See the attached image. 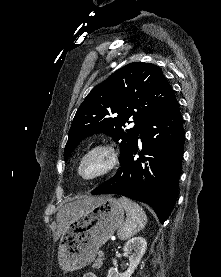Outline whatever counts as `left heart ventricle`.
Masks as SVG:
<instances>
[{"label":"left heart ventricle","instance_id":"b2bd125f","mask_svg":"<svg viewBox=\"0 0 221 277\" xmlns=\"http://www.w3.org/2000/svg\"><path fill=\"white\" fill-rule=\"evenodd\" d=\"M102 165V158L94 156L88 159L82 166V173L84 175H91L96 172Z\"/></svg>","mask_w":221,"mask_h":277}]
</instances>
